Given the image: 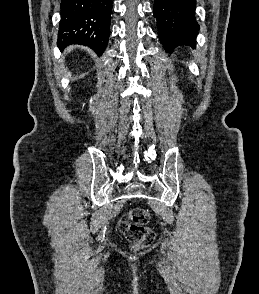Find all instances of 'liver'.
Instances as JSON below:
<instances>
[{
  "label": "liver",
  "mask_w": 259,
  "mask_h": 294,
  "mask_svg": "<svg viewBox=\"0 0 259 294\" xmlns=\"http://www.w3.org/2000/svg\"><path fill=\"white\" fill-rule=\"evenodd\" d=\"M70 51V48L69 49H67V52H69Z\"/></svg>",
  "instance_id": "6515ba94"
}]
</instances>
